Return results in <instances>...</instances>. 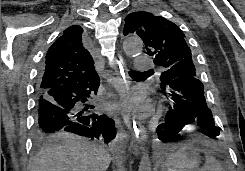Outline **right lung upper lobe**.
<instances>
[{
  "instance_id": "right-lung-upper-lobe-1",
  "label": "right lung upper lobe",
  "mask_w": 245,
  "mask_h": 171,
  "mask_svg": "<svg viewBox=\"0 0 245 171\" xmlns=\"http://www.w3.org/2000/svg\"><path fill=\"white\" fill-rule=\"evenodd\" d=\"M98 78L83 29L75 25L64 30L63 35L48 49L37 89L47 90Z\"/></svg>"
}]
</instances>
